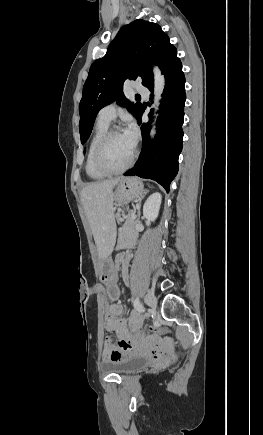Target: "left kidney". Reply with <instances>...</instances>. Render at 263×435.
Listing matches in <instances>:
<instances>
[{"label": "left kidney", "mask_w": 263, "mask_h": 435, "mask_svg": "<svg viewBox=\"0 0 263 435\" xmlns=\"http://www.w3.org/2000/svg\"><path fill=\"white\" fill-rule=\"evenodd\" d=\"M162 196L159 192L151 194L143 206V215L149 221H154L158 217Z\"/></svg>", "instance_id": "obj_1"}]
</instances>
